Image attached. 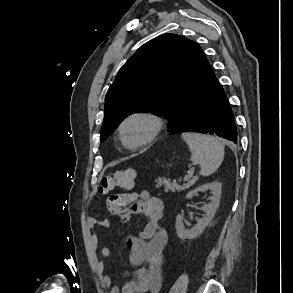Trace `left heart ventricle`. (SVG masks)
<instances>
[{
    "label": "left heart ventricle",
    "instance_id": "obj_1",
    "mask_svg": "<svg viewBox=\"0 0 293 293\" xmlns=\"http://www.w3.org/2000/svg\"><path fill=\"white\" fill-rule=\"evenodd\" d=\"M150 131V124L143 119H134L128 122L124 128V137L130 144L143 140Z\"/></svg>",
    "mask_w": 293,
    "mask_h": 293
}]
</instances>
